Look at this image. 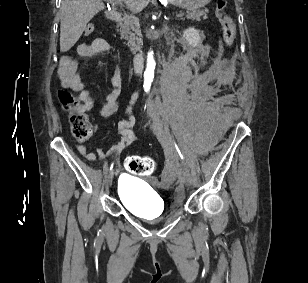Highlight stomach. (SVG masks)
Returning a JSON list of instances; mask_svg holds the SVG:
<instances>
[{"mask_svg": "<svg viewBox=\"0 0 308 283\" xmlns=\"http://www.w3.org/2000/svg\"><path fill=\"white\" fill-rule=\"evenodd\" d=\"M211 0H168L169 3L186 10H196L207 5Z\"/></svg>", "mask_w": 308, "mask_h": 283, "instance_id": "obj_1", "label": "stomach"}]
</instances>
